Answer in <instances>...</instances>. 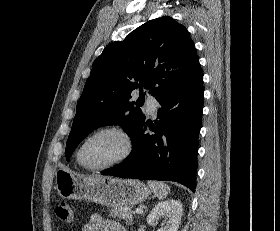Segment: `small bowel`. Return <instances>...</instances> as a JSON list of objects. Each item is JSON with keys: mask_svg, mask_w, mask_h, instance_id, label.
I'll return each mask as SVG.
<instances>
[{"mask_svg": "<svg viewBox=\"0 0 280 231\" xmlns=\"http://www.w3.org/2000/svg\"><path fill=\"white\" fill-rule=\"evenodd\" d=\"M82 231H125L116 221L105 219L99 214H93L83 226Z\"/></svg>", "mask_w": 280, "mask_h": 231, "instance_id": "1", "label": "small bowel"}]
</instances>
